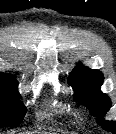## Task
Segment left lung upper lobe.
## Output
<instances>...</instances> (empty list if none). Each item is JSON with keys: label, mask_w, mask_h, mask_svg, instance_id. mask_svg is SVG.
I'll return each instance as SVG.
<instances>
[{"label": "left lung upper lobe", "mask_w": 116, "mask_h": 134, "mask_svg": "<svg viewBox=\"0 0 116 134\" xmlns=\"http://www.w3.org/2000/svg\"><path fill=\"white\" fill-rule=\"evenodd\" d=\"M103 74L85 66H76L68 76L74 91V101L86 106L105 130L116 134V121H106L104 116L112 106L110 98L101 92Z\"/></svg>", "instance_id": "obj_1"}]
</instances>
